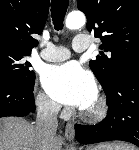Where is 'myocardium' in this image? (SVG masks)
<instances>
[{
	"instance_id": "myocardium-1",
	"label": "myocardium",
	"mask_w": 139,
	"mask_h": 150,
	"mask_svg": "<svg viewBox=\"0 0 139 150\" xmlns=\"http://www.w3.org/2000/svg\"><path fill=\"white\" fill-rule=\"evenodd\" d=\"M95 106L91 110H85L81 113V117L89 123H98L105 119L108 114L109 106L104 97H98Z\"/></svg>"
}]
</instances>
